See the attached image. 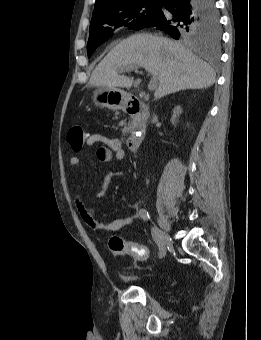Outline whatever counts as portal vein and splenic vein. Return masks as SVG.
<instances>
[{"label": "portal vein and splenic vein", "mask_w": 261, "mask_h": 340, "mask_svg": "<svg viewBox=\"0 0 261 340\" xmlns=\"http://www.w3.org/2000/svg\"><path fill=\"white\" fill-rule=\"evenodd\" d=\"M133 70L137 71L138 70V66H131V67L122 69L121 72L133 71ZM157 85H158L157 81L154 78H152L150 83H149V85H148L149 91H154L157 88Z\"/></svg>", "instance_id": "obj_1"}]
</instances>
